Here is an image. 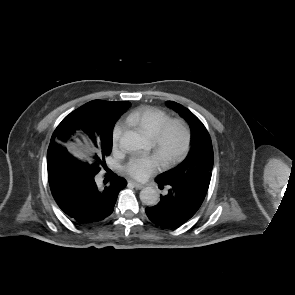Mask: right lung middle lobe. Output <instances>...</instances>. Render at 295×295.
Segmentation results:
<instances>
[{
  "instance_id": "obj_1",
  "label": "right lung middle lobe",
  "mask_w": 295,
  "mask_h": 295,
  "mask_svg": "<svg viewBox=\"0 0 295 295\" xmlns=\"http://www.w3.org/2000/svg\"><path fill=\"white\" fill-rule=\"evenodd\" d=\"M115 122L116 120L105 122L100 129L96 130V135L95 136L93 135L90 137L91 139H95L96 137L100 138L101 157H99L96 154L93 157L94 159L93 161L89 163L81 162L85 167L96 168V169L106 167L105 156H108L112 150V134H113V128H114ZM89 127H90L89 120L86 118L85 113L83 111H80L73 116L72 130L68 132V134L65 136V139H67L69 135L73 134L76 130L81 129L82 131H85L89 129ZM71 157L74 158L72 155Z\"/></svg>"
}]
</instances>
